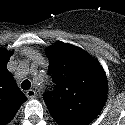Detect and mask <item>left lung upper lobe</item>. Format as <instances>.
<instances>
[{
    "label": "left lung upper lobe",
    "instance_id": "obj_1",
    "mask_svg": "<svg viewBox=\"0 0 125 125\" xmlns=\"http://www.w3.org/2000/svg\"><path fill=\"white\" fill-rule=\"evenodd\" d=\"M55 90L44 96L58 125H88L103 108L107 78L99 62L81 48L57 42L46 49Z\"/></svg>",
    "mask_w": 125,
    "mask_h": 125
}]
</instances>
